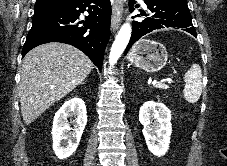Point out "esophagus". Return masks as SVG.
<instances>
[{"instance_id": "1", "label": "esophagus", "mask_w": 227, "mask_h": 166, "mask_svg": "<svg viewBox=\"0 0 227 166\" xmlns=\"http://www.w3.org/2000/svg\"><path fill=\"white\" fill-rule=\"evenodd\" d=\"M124 3L125 0H114L111 19V30L113 32H115L121 25Z\"/></svg>"}]
</instances>
